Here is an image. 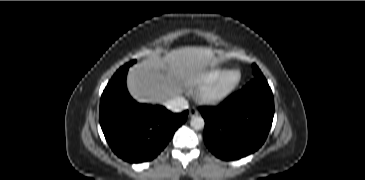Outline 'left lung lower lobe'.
Segmentation results:
<instances>
[{
    "mask_svg": "<svg viewBox=\"0 0 365 180\" xmlns=\"http://www.w3.org/2000/svg\"><path fill=\"white\" fill-rule=\"evenodd\" d=\"M204 141L218 158L236 160L258 150L274 116L272 91L264 76L255 77L219 106L201 107Z\"/></svg>",
    "mask_w": 365,
    "mask_h": 180,
    "instance_id": "0a47b994",
    "label": "left lung lower lobe"
}]
</instances>
